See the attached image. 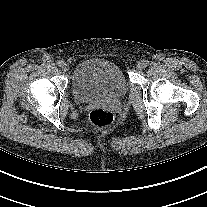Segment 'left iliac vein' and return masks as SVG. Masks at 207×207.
Returning a JSON list of instances; mask_svg holds the SVG:
<instances>
[{"label": "left iliac vein", "instance_id": "obj_1", "mask_svg": "<svg viewBox=\"0 0 207 207\" xmlns=\"http://www.w3.org/2000/svg\"><path fill=\"white\" fill-rule=\"evenodd\" d=\"M144 67H145V65H144L143 61H140V62L137 63V68L138 69H143Z\"/></svg>", "mask_w": 207, "mask_h": 207}]
</instances>
